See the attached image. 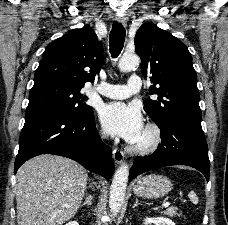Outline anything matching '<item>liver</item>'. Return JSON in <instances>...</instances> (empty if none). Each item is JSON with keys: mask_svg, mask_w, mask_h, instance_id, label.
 I'll list each match as a JSON object with an SVG mask.
<instances>
[{"mask_svg": "<svg viewBox=\"0 0 228 225\" xmlns=\"http://www.w3.org/2000/svg\"><path fill=\"white\" fill-rule=\"evenodd\" d=\"M81 165L55 155L26 161L16 175L18 225H63L76 215L87 187Z\"/></svg>", "mask_w": 228, "mask_h": 225, "instance_id": "1", "label": "liver"}]
</instances>
